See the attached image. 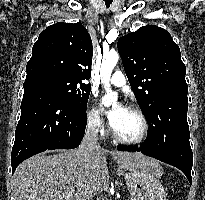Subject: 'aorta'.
I'll use <instances>...</instances> for the list:
<instances>
[{
	"label": "aorta",
	"instance_id": "1",
	"mask_svg": "<svg viewBox=\"0 0 205 200\" xmlns=\"http://www.w3.org/2000/svg\"><path fill=\"white\" fill-rule=\"evenodd\" d=\"M118 60L119 54L116 51H110L109 53L104 54L102 59L100 74L106 90V94L102 99L104 106L116 105L117 103V94L111 90L110 77Z\"/></svg>",
	"mask_w": 205,
	"mask_h": 200
}]
</instances>
